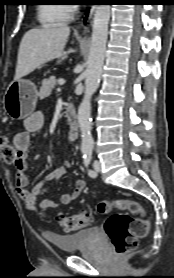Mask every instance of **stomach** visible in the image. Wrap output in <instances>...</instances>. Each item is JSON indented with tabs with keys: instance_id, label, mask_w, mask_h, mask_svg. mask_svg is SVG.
<instances>
[{
	"instance_id": "0dacf381",
	"label": "stomach",
	"mask_w": 174,
	"mask_h": 278,
	"mask_svg": "<svg viewBox=\"0 0 174 278\" xmlns=\"http://www.w3.org/2000/svg\"><path fill=\"white\" fill-rule=\"evenodd\" d=\"M38 100L37 87L30 80L12 81L4 95V108L12 120L28 117L36 108Z\"/></svg>"
}]
</instances>
